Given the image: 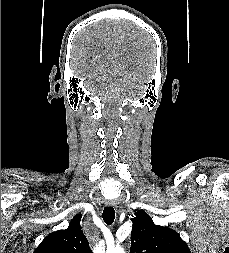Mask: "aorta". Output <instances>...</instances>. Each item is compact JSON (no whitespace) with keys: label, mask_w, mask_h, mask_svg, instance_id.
I'll use <instances>...</instances> for the list:
<instances>
[{"label":"aorta","mask_w":229,"mask_h":253,"mask_svg":"<svg viewBox=\"0 0 229 253\" xmlns=\"http://www.w3.org/2000/svg\"><path fill=\"white\" fill-rule=\"evenodd\" d=\"M106 253H125V251L122 247L116 246L108 248Z\"/></svg>","instance_id":"762f6f07"}]
</instances>
